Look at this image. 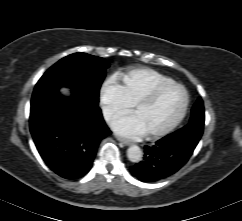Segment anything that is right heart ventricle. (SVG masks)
Wrapping results in <instances>:
<instances>
[{
  "mask_svg": "<svg viewBox=\"0 0 242 221\" xmlns=\"http://www.w3.org/2000/svg\"><path fill=\"white\" fill-rule=\"evenodd\" d=\"M117 79L132 104L157 84L171 81L169 77L149 68L131 69L118 74Z\"/></svg>",
  "mask_w": 242,
  "mask_h": 221,
  "instance_id": "right-heart-ventricle-1",
  "label": "right heart ventricle"
}]
</instances>
